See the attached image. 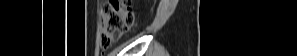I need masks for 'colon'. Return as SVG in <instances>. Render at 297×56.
I'll list each match as a JSON object with an SVG mask.
<instances>
[{
	"mask_svg": "<svg viewBox=\"0 0 297 56\" xmlns=\"http://www.w3.org/2000/svg\"><path fill=\"white\" fill-rule=\"evenodd\" d=\"M101 38L103 50L110 48L134 22L131 1L108 0L102 3L100 10Z\"/></svg>",
	"mask_w": 297,
	"mask_h": 56,
	"instance_id": "1",
	"label": "colon"
}]
</instances>
